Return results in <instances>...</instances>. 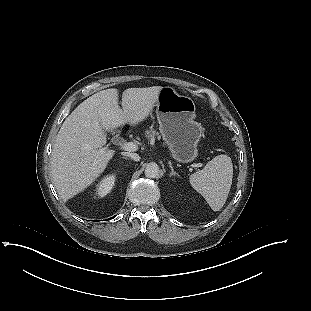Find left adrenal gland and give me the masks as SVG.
Returning <instances> with one entry per match:
<instances>
[{"mask_svg":"<svg viewBox=\"0 0 311 311\" xmlns=\"http://www.w3.org/2000/svg\"><path fill=\"white\" fill-rule=\"evenodd\" d=\"M168 164H169V167H170V169H171L170 176H173V175H174V176H175V175L178 176V173H176V172L174 171V169H173L172 164H171L170 161L168 162Z\"/></svg>","mask_w":311,"mask_h":311,"instance_id":"left-adrenal-gland-1","label":"left adrenal gland"}]
</instances>
